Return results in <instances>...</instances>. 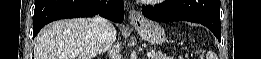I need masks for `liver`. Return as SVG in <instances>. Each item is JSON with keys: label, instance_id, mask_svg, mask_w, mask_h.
<instances>
[{"label": "liver", "instance_id": "liver-1", "mask_svg": "<svg viewBox=\"0 0 261 59\" xmlns=\"http://www.w3.org/2000/svg\"><path fill=\"white\" fill-rule=\"evenodd\" d=\"M91 22L90 18H75L44 27L36 37L34 59H95L112 47L117 33L110 25L108 41L103 48L92 30Z\"/></svg>", "mask_w": 261, "mask_h": 59}]
</instances>
